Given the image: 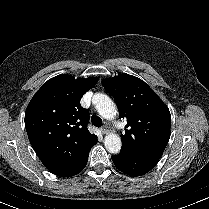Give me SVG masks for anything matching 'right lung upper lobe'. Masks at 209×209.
Returning a JSON list of instances; mask_svg holds the SVG:
<instances>
[{"mask_svg":"<svg viewBox=\"0 0 209 209\" xmlns=\"http://www.w3.org/2000/svg\"><path fill=\"white\" fill-rule=\"evenodd\" d=\"M97 77L87 79L61 74L45 82L25 112L29 141L44 166L64 177L90 151L97 136L87 129L89 112L80 99Z\"/></svg>","mask_w":209,"mask_h":209,"instance_id":"right-lung-upper-lobe-1","label":"right lung upper lobe"}]
</instances>
